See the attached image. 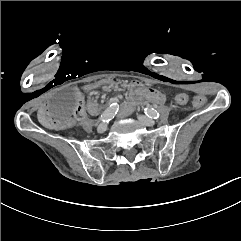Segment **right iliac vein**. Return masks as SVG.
I'll return each instance as SVG.
<instances>
[{"mask_svg":"<svg viewBox=\"0 0 241 241\" xmlns=\"http://www.w3.org/2000/svg\"><path fill=\"white\" fill-rule=\"evenodd\" d=\"M107 129V124L106 123H101L98 127H97V132L98 133H103L105 132Z\"/></svg>","mask_w":241,"mask_h":241,"instance_id":"right-iliac-vein-1","label":"right iliac vein"}]
</instances>
